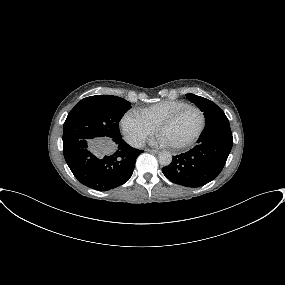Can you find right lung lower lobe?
<instances>
[{
    "label": "right lung lower lobe",
    "instance_id": "1",
    "mask_svg": "<svg viewBox=\"0 0 285 285\" xmlns=\"http://www.w3.org/2000/svg\"><path fill=\"white\" fill-rule=\"evenodd\" d=\"M114 153H106L100 142L74 139L63 143L65 160L74 176L84 185L98 191H108L124 184L132 175L137 156L123 139L113 140Z\"/></svg>",
    "mask_w": 285,
    "mask_h": 285
}]
</instances>
